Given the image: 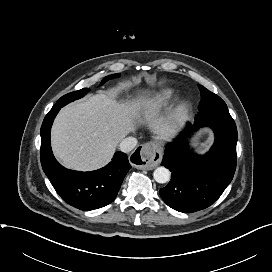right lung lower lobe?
Segmentation results:
<instances>
[{
	"instance_id": "1",
	"label": "right lung lower lobe",
	"mask_w": 272,
	"mask_h": 272,
	"mask_svg": "<svg viewBox=\"0 0 272 272\" xmlns=\"http://www.w3.org/2000/svg\"><path fill=\"white\" fill-rule=\"evenodd\" d=\"M61 106H53L41 126L40 158L43 171L60 197L69 205L89 211L110 204L130 170L127 155L116 152L105 167L91 171H72L61 166L53 156L50 131Z\"/></svg>"
}]
</instances>
